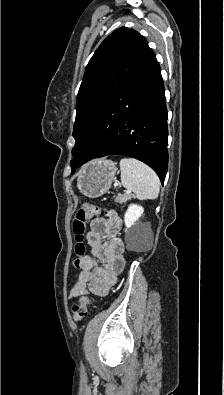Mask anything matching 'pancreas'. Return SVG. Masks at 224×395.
Masks as SVG:
<instances>
[{
  "instance_id": "cf45deb5",
  "label": "pancreas",
  "mask_w": 224,
  "mask_h": 395,
  "mask_svg": "<svg viewBox=\"0 0 224 395\" xmlns=\"http://www.w3.org/2000/svg\"><path fill=\"white\" fill-rule=\"evenodd\" d=\"M131 198V195L129 194H118L117 197L115 198L116 202L118 203H124L128 201Z\"/></svg>"
}]
</instances>
